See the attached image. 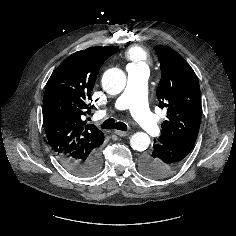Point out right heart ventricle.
Here are the masks:
<instances>
[{
  "instance_id": "obj_1",
  "label": "right heart ventricle",
  "mask_w": 236,
  "mask_h": 236,
  "mask_svg": "<svg viewBox=\"0 0 236 236\" xmlns=\"http://www.w3.org/2000/svg\"><path fill=\"white\" fill-rule=\"evenodd\" d=\"M125 57L130 61V66L146 65L150 60L148 52L140 46L129 48L125 53Z\"/></svg>"
}]
</instances>
